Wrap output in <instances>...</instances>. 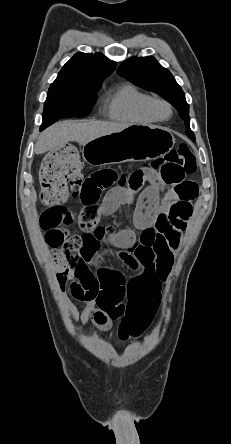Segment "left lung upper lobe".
<instances>
[{"instance_id":"left-lung-upper-lobe-1","label":"left lung upper lobe","mask_w":231,"mask_h":444,"mask_svg":"<svg viewBox=\"0 0 231 444\" xmlns=\"http://www.w3.org/2000/svg\"><path fill=\"white\" fill-rule=\"evenodd\" d=\"M117 73L133 84L169 100L185 120L187 127L185 133L191 140H195L194 133L189 127V105L186 102L185 94L166 68L151 56L132 57L118 68Z\"/></svg>"}]
</instances>
